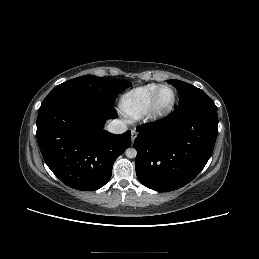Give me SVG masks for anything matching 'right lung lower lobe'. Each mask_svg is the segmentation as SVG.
Masks as SVG:
<instances>
[{
	"label": "right lung lower lobe",
	"instance_id": "98d812e1",
	"mask_svg": "<svg viewBox=\"0 0 259 259\" xmlns=\"http://www.w3.org/2000/svg\"><path fill=\"white\" fill-rule=\"evenodd\" d=\"M116 118L115 109L81 96H64L42 105L37 117V141L50 170L67 186L93 191L103 187L112 167L131 144V132L103 129Z\"/></svg>",
	"mask_w": 259,
	"mask_h": 259
}]
</instances>
